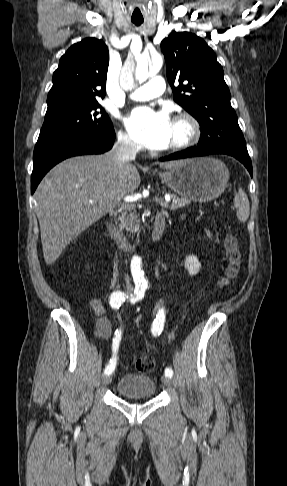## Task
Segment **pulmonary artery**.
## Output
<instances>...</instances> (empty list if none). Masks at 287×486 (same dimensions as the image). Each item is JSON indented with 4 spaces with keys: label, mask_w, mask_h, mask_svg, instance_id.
<instances>
[{
    "label": "pulmonary artery",
    "mask_w": 287,
    "mask_h": 486,
    "mask_svg": "<svg viewBox=\"0 0 287 486\" xmlns=\"http://www.w3.org/2000/svg\"><path fill=\"white\" fill-rule=\"evenodd\" d=\"M164 91V80L161 77L151 78L144 85L132 90L129 98L136 101H146L162 95Z\"/></svg>",
    "instance_id": "obj_1"
}]
</instances>
